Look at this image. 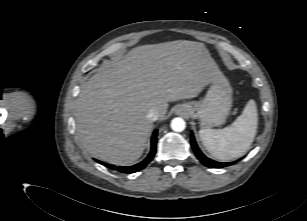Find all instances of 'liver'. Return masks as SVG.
<instances>
[{
	"label": "liver",
	"instance_id": "6515ba94",
	"mask_svg": "<svg viewBox=\"0 0 307 221\" xmlns=\"http://www.w3.org/2000/svg\"><path fill=\"white\" fill-rule=\"evenodd\" d=\"M221 76L202 43L177 40L135 47L82 86L76 102L80 141L102 161L131 165L141 157L153 128L147 118L151 109L163 120L168 102L196 97Z\"/></svg>",
	"mask_w": 307,
	"mask_h": 221
}]
</instances>
